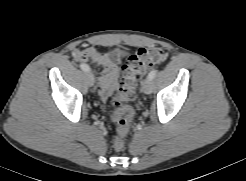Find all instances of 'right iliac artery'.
Masks as SVG:
<instances>
[{
  "instance_id": "1",
  "label": "right iliac artery",
  "mask_w": 246,
  "mask_h": 181,
  "mask_svg": "<svg viewBox=\"0 0 246 181\" xmlns=\"http://www.w3.org/2000/svg\"><path fill=\"white\" fill-rule=\"evenodd\" d=\"M80 68L83 70V71H90V68L87 64H80Z\"/></svg>"
}]
</instances>
